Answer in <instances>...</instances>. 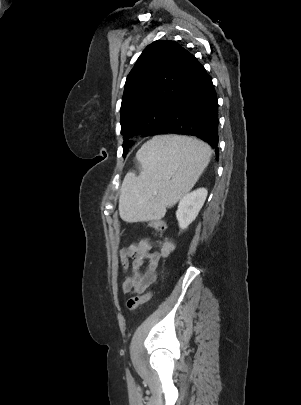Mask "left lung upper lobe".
Masks as SVG:
<instances>
[{
  "instance_id": "obj_1",
  "label": "left lung upper lobe",
  "mask_w": 301,
  "mask_h": 405,
  "mask_svg": "<svg viewBox=\"0 0 301 405\" xmlns=\"http://www.w3.org/2000/svg\"><path fill=\"white\" fill-rule=\"evenodd\" d=\"M194 55L174 41L148 45L129 73L121 104V134L153 136L189 74ZM123 144V155L128 146Z\"/></svg>"
}]
</instances>
